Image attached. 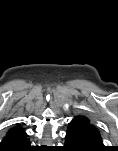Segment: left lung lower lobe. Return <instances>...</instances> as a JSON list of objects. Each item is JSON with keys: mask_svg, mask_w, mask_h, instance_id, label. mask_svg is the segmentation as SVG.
Here are the masks:
<instances>
[{"mask_svg": "<svg viewBox=\"0 0 118 151\" xmlns=\"http://www.w3.org/2000/svg\"><path fill=\"white\" fill-rule=\"evenodd\" d=\"M64 151H101L102 149L92 145V143L80 132L73 128L67 129L65 137Z\"/></svg>", "mask_w": 118, "mask_h": 151, "instance_id": "left-lung-lower-lobe-1", "label": "left lung lower lobe"}]
</instances>
